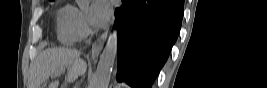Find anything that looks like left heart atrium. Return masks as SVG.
I'll return each instance as SVG.
<instances>
[{
	"label": "left heart atrium",
	"instance_id": "obj_1",
	"mask_svg": "<svg viewBox=\"0 0 267 88\" xmlns=\"http://www.w3.org/2000/svg\"><path fill=\"white\" fill-rule=\"evenodd\" d=\"M111 15V8L106 0H97L90 6L87 18L91 25L101 27L106 24Z\"/></svg>",
	"mask_w": 267,
	"mask_h": 88
}]
</instances>
